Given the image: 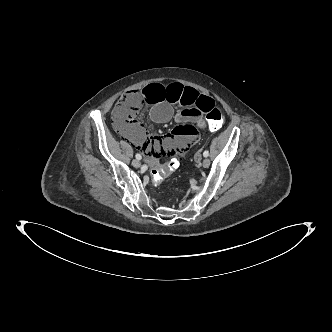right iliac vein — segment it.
Wrapping results in <instances>:
<instances>
[{"label":"right iliac vein","mask_w":332,"mask_h":332,"mask_svg":"<svg viewBox=\"0 0 332 332\" xmlns=\"http://www.w3.org/2000/svg\"><path fill=\"white\" fill-rule=\"evenodd\" d=\"M132 165L135 167V168H139L141 166V162L137 159H134L132 161Z\"/></svg>","instance_id":"1"}]
</instances>
